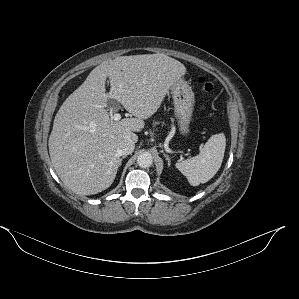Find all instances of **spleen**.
I'll list each match as a JSON object with an SVG mask.
<instances>
[{"label": "spleen", "instance_id": "1", "mask_svg": "<svg viewBox=\"0 0 299 299\" xmlns=\"http://www.w3.org/2000/svg\"><path fill=\"white\" fill-rule=\"evenodd\" d=\"M226 147L223 133L212 135L199 155L176 163V168L192 186L208 182L221 167Z\"/></svg>", "mask_w": 299, "mask_h": 299}]
</instances>
